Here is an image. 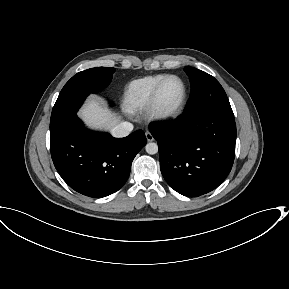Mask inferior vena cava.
Masks as SVG:
<instances>
[{
	"instance_id": "602c4592",
	"label": "inferior vena cava",
	"mask_w": 289,
	"mask_h": 289,
	"mask_svg": "<svg viewBox=\"0 0 289 289\" xmlns=\"http://www.w3.org/2000/svg\"><path fill=\"white\" fill-rule=\"evenodd\" d=\"M132 130H133L132 123L121 122L112 129L111 133L114 137L122 138L128 136Z\"/></svg>"
}]
</instances>
